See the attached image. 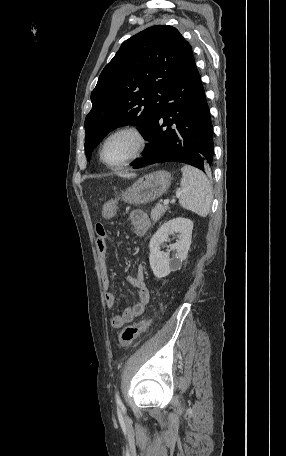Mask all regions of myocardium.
<instances>
[{
	"instance_id": "f54148a6",
	"label": "myocardium",
	"mask_w": 286,
	"mask_h": 456,
	"mask_svg": "<svg viewBox=\"0 0 286 456\" xmlns=\"http://www.w3.org/2000/svg\"><path fill=\"white\" fill-rule=\"evenodd\" d=\"M124 132H128V133H132L133 135H135V137L137 138L138 140V148H137V151L134 153V155H132L130 158H128L127 160H125L124 162L122 163H119V164H110L108 162H106V160L104 159V150H105V147H106V144L107 142L115 135L117 134H120V133H124ZM148 137L146 135V133L138 126L136 125H125V126H121L115 130H113L103 141L102 143V146H101V149H100V159L102 161V163L104 165H106L107 167L109 168H112V169H119V168H122L124 166H127L129 164H131L132 162H134L135 160H137L138 158H140L143 153L145 152V150L147 149V146H148Z\"/></svg>"
}]
</instances>
